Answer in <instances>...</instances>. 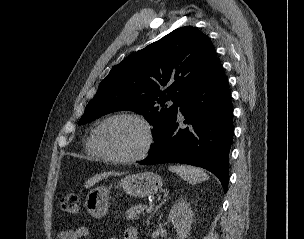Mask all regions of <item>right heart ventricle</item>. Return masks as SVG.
<instances>
[{"label": "right heart ventricle", "instance_id": "e07e8e85", "mask_svg": "<svg viewBox=\"0 0 304 239\" xmlns=\"http://www.w3.org/2000/svg\"><path fill=\"white\" fill-rule=\"evenodd\" d=\"M92 135H93V133L86 140V144H85L86 152L89 156L96 158V159H100L102 157L97 152V150L95 149V147L93 145Z\"/></svg>", "mask_w": 304, "mask_h": 239}]
</instances>
